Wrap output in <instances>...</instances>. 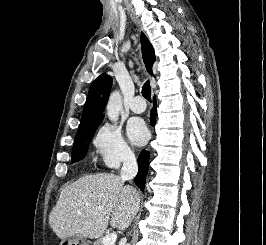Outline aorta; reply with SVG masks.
I'll return each mask as SVG.
<instances>
[{"instance_id":"762f6f07","label":"aorta","mask_w":266,"mask_h":245,"mask_svg":"<svg viewBox=\"0 0 266 245\" xmlns=\"http://www.w3.org/2000/svg\"><path fill=\"white\" fill-rule=\"evenodd\" d=\"M122 108V96L119 90H114V92H111L106 106L108 118L109 120H112V123H115V120H118L119 112Z\"/></svg>"}]
</instances>
